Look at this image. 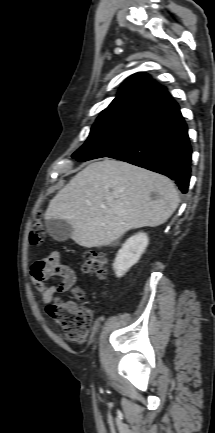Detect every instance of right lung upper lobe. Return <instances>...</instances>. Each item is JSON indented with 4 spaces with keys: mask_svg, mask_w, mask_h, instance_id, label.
<instances>
[{
    "mask_svg": "<svg viewBox=\"0 0 215 433\" xmlns=\"http://www.w3.org/2000/svg\"><path fill=\"white\" fill-rule=\"evenodd\" d=\"M173 101L165 87L154 83L145 73H136L125 80L117 97L101 112L97 121L121 117L149 118Z\"/></svg>",
    "mask_w": 215,
    "mask_h": 433,
    "instance_id": "cb5924a9",
    "label": "right lung upper lobe"
}]
</instances>
